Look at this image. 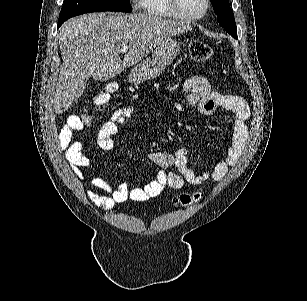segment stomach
Listing matches in <instances>:
<instances>
[{
  "mask_svg": "<svg viewBox=\"0 0 307 301\" xmlns=\"http://www.w3.org/2000/svg\"><path fill=\"white\" fill-rule=\"evenodd\" d=\"M180 42L174 38H167L161 44H157L152 56L143 58L139 64L131 68L128 76L129 82L132 84H141L145 80L157 78L166 66L173 62L174 58L180 54Z\"/></svg>",
  "mask_w": 307,
  "mask_h": 301,
  "instance_id": "obj_1",
  "label": "stomach"
}]
</instances>
